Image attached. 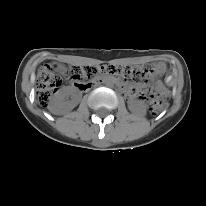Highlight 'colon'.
<instances>
[{"label":"colon","instance_id":"5ec220e1","mask_svg":"<svg viewBox=\"0 0 206 206\" xmlns=\"http://www.w3.org/2000/svg\"><path fill=\"white\" fill-rule=\"evenodd\" d=\"M146 67L132 68L129 66H73L66 73V78L75 82L80 89L88 87V82L100 73L121 75L132 80H144L149 75ZM61 78L55 73V67L51 64H43L37 75V96L40 105L45 106L51 95L61 85ZM165 97L160 94L150 96V111L158 113L166 107Z\"/></svg>","mask_w":206,"mask_h":206}]
</instances>
